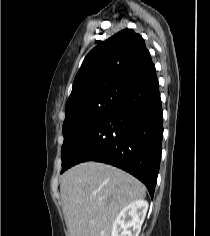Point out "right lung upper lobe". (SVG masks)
I'll return each instance as SVG.
<instances>
[{"label": "right lung upper lobe", "mask_w": 210, "mask_h": 236, "mask_svg": "<svg viewBox=\"0 0 210 236\" xmlns=\"http://www.w3.org/2000/svg\"><path fill=\"white\" fill-rule=\"evenodd\" d=\"M153 72L155 66L144 39L131 29H124L85 57L74 79L66 110L101 93L124 92Z\"/></svg>", "instance_id": "obj_1"}]
</instances>
